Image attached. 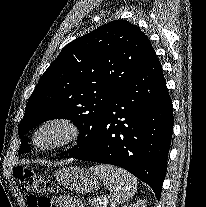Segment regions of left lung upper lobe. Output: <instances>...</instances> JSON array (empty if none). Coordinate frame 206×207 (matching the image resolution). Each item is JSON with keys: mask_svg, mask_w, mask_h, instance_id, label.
<instances>
[{"mask_svg": "<svg viewBox=\"0 0 206 207\" xmlns=\"http://www.w3.org/2000/svg\"><path fill=\"white\" fill-rule=\"evenodd\" d=\"M155 53L148 37L115 20L66 45L40 78L18 127L19 153L30 150L25 133L50 119H68L80 130L70 155L87 149L115 96ZM67 152L62 153L65 155Z\"/></svg>", "mask_w": 206, "mask_h": 207, "instance_id": "obj_1", "label": "left lung upper lobe"}]
</instances>
